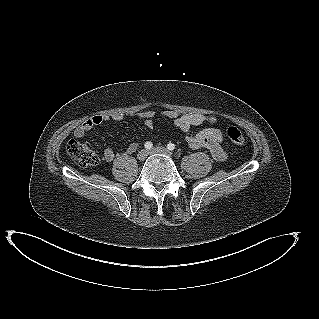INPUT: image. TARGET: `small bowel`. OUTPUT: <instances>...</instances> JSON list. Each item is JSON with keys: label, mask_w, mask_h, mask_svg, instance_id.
Wrapping results in <instances>:
<instances>
[{"label": "small bowel", "mask_w": 319, "mask_h": 319, "mask_svg": "<svg viewBox=\"0 0 319 319\" xmlns=\"http://www.w3.org/2000/svg\"><path fill=\"white\" fill-rule=\"evenodd\" d=\"M156 116H161L164 118L172 119L174 121L175 127L180 130L184 135L185 142L192 149H207L214 159L217 161H223L226 159V151L222 147L223 134L217 128H207L197 133L191 131L192 127L199 126L202 124L215 125L217 123V117L214 115L208 114H182L175 110H163L159 113H156L151 110L140 111L133 114L131 117L134 120H142L143 126L146 128L153 127V119ZM123 115L120 113H115L113 115H96L81 125L75 128L74 136L76 138H82L84 135L93 129L95 126H98L109 120L121 121ZM137 149V144L131 142L125 149V154H133ZM116 157V152L113 148L108 147L103 152V160L106 162H111Z\"/></svg>", "instance_id": "1"}]
</instances>
